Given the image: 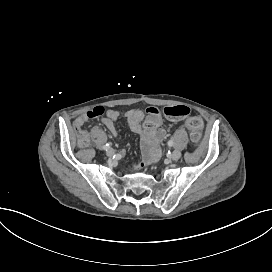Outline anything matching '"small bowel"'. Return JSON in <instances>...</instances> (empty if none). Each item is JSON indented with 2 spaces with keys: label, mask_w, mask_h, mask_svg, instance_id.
Returning a JSON list of instances; mask_svg holds the SVG:
<instances>
[{
  "label": "small bowel",
  "mask_w": 272,
  "mask_h": 272,
  "mask_svg": "<svg viewBox=\"0 0 272 272\" xmlns=\"http://www.w3.org/2000/svg\"><path fill=\"white\" fill-rule=\"evenodd\" d=\"M120 112L114 109L107 111L106 116L101 118L100 122L111 132L112 135L117 134V128L115 125L116 120L120 116ZM123 116L126 118L130 130L141 136V146L143 152V161L140 164L141 167L151 163L159 155L158 144L165 138L166 131L161 127V120L158 119V124L154 127L147 128L142 126V121L145 117V113L140 109H129L123 112ZM178 121L179 119H173ZM75 121L85 123L87 121L86 115H79ZM74 121V122H75Z\"/></svg>",
  "instance_id": "c3829d8e"
}]
</instances>
